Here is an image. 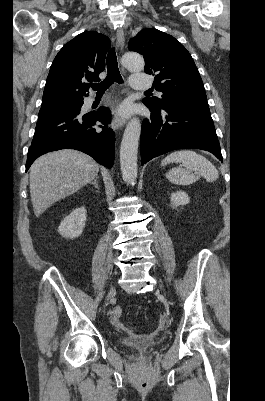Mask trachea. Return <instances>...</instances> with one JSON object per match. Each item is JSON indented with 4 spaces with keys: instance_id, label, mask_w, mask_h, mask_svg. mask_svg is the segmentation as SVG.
Masks as SVG:
<instances>
[{
    "instance_id": "1",
    "label": "trachea",
    "mask_w": 265,
    "mask_h": 401,
    "mask_svg": "<svg viewBox=\"0 0 265 401\" xmlns=\"http://www.w3.org/2000/svg\"><path fill=\"white\" fill-rule=\"evenodd\" d=\"M107 76L103 82L91 83L90 86L97 92H105L114 82L123 83V79L118 69L115 48H112L107 56ZM153 90H147L145 93H152Z\"/></svg>"
}]
</instances>
